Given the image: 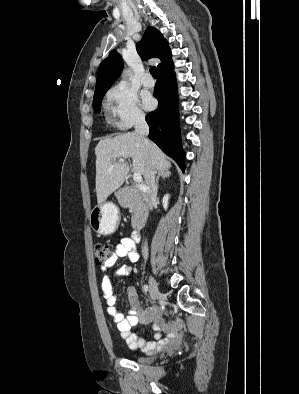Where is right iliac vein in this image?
<instances>
[{
    "mask_svg": "<svg viewBox=\"0 0 299 394\" xmlns=\"http://www.w3.org/2000/svg\"><path fill=\"white\" fill-rule=\"evenodd\" d=\"M149 293H150V298L153 302L159 297L158 285L156 280L152 276H150L149 279Z\"/></svg>",
    "mask_w": 299,
    "mask_h": 394,
    "instance_id": "obj_1",
    "label": "right iliac vein"
}]
</instances>
